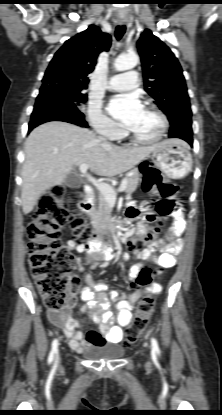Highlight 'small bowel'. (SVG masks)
<instances>
[{"mask_svg": "<svg viewBox=\"0 0 222 415\" xmlns=\"http://www.w3.org/2000/svg\"><path fill=\"white\" fill-rule=\"evenodd\" d=\"M138 215L134 207L126 210V218L133 221ZM151 212L146 211L144 218L150 220ZM174 226L166 238L149 242L145 248L134 252L133 257L138 260H148L149 262L161 267L172 268L177 264L176 255L182 250L183 241L180 233L185 228V220L183 218V210L178 208L174 214ZM137 230L140 234L146 232V228L142 224H137ZM67 247L70 250L84 252L89 247L78 243L75 240H68ZM158 252V254H156ZM124 259H128L127 254L123 255ZM78 270L84 272L80 266V260L77 259ZM140 263L134 264L129 271V279L135 281L141 271ZM87 286L78 288V292H74L63 311L48 310L47 315L49 321L56 327L60 328L65 335L69 347L75 352H81L83 349L94 346H102L105 344H119L123 341V331L129 325L132 311L136 303L143 294V291L136 289L130 295H120L116 291L108 292V286L102 282H95L89 274L84 275ZM162 290L159 284H153L148 287L145 292L158 294ZM79 293V298L77 294ZM82 300L86 303L89 310L90 319L98 324L101 333L93 330L83 331V323L81 319L73 318L71 310ZM111 301L116 302V310L118 312L116 324L113 323V314L110 311ZM82 308V311H86Z\"/></svg>", "mask_w": 222, "mask_h": 415, "instance_id": "small-bowel-1", "label": "small bowel"}]
</instances>
